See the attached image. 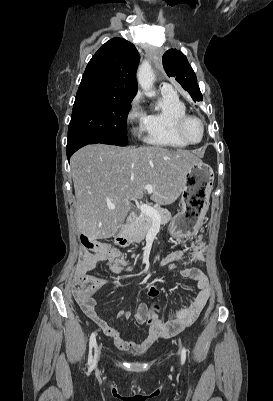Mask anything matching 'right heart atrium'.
I'll use <instances>...</instances> for the list:
<instances>
[{
  "instance_id": "right-heart-atrium-1",
  "label": "right heart atrium",
  "mask_w": 273,
  "mask_h": 401,
  "mask_svg": "<svg viewBox=\"0 0 273 401\" xmlns=\"http://www.w3.org/2000/svg\"><path fill=\"white\" fill-rule=\"evenodd\" d=\"M145 113L141 107L139 97H135L131 103L127 113V121L132 126V134L136 137H140L144 127ZM137 123V126L134 124Z\"/></svg>"
}]
</instances>
